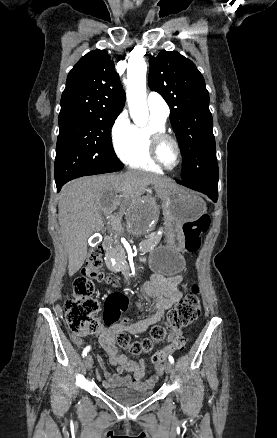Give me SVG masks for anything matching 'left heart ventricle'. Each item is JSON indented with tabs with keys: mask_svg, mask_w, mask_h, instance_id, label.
Here are the masks:
<instances>
[{
	"mask_svg": "<svg viewBox=\"0 0 277 438\" xmlns=\"http://www.w3.org/2000/svg\"><path fill=\"white\" fill-rule=\"evenodd\" d=\"M160 157L163 163L168 167H172L175 164L177 154L176 148L172 142H164L160 150Z\"/></svg>",
	"mask_w": 277,
	"mask_h": 438,
	"instance_id": "b2bd125f",
	"label": "left heart ventricle"
}]
</instances>
